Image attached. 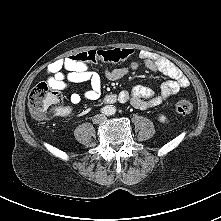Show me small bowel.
Returning <instances> with one entry per match:
<instances>
[{
	"label": "small bowel",
	"instance_id": "small-bowel-1",
	"mask_svg": "<svg viewBox=\"0 0 221 221\" xmlns=\"http://www.w3.org/2000/svg\"><path fill=\"white\" fill-rule=\"evenodd\" d=\"M138 60L127 66L110 68L104 66V76L110 81L124 78L130 72L144 67L154 73H162L170 78L161 86L159 93L145 86H135L131 90L119 94L121 102H129L138 109H148L160 105L165 99L189 86L186 75L170 60L148 51H141ZM66 71V72H65ZM48 85L56 90H67L71 84L88 82L90 88L84 92H74L70 95V105L62 109L61 114L68 116L72 113V106L83 100L96 101L101 97L102 78L99 73L92 71L87 65L72 61L71 58H61L53 61L48 68Z\"/></svg>",
	"mask_w": 221,
	"mask_h": 221
}]
</instances>
